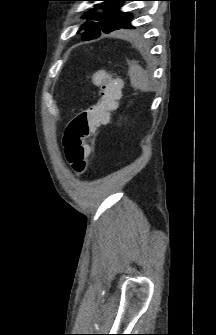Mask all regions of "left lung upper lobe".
<instances>
[{
	"label": "left lung upper lobe",
	"instance_id": "obj_1",
	"mask_svg": "<svg viewBox=\"0 0 216 335\" xmlns=\"http://www.w3.org/2000/svg\"><path fill=\"white\" fill-rule=\"evenodd\" d=\"M103 1L102 4H95L94 9L87 12L82 18L89 20H96L97 22L88 21L84 24L79 31L85 30L83 32V38L85 40H91L100 36L101 32L106 34L119 30L121 28L125 29H134L135 27L131 26L130 21L132 15L128 13H123L118 10V8L125 1L131 0H95ZM97 10H103V12H96Z\"/></svg>",
	"mask_w": 216,
	"mask_h": 335
}]
</instances>
